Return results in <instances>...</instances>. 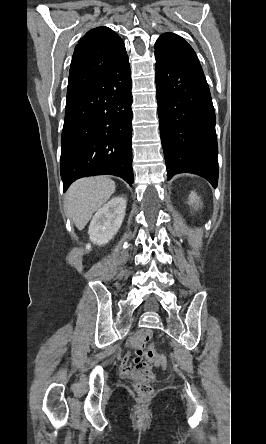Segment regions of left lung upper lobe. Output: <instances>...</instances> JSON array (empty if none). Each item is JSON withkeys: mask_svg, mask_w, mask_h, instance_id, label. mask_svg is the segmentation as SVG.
I'll use <instances>...</instances> for the list:
<instances>
[{"mask_svg": "<svg viewBox=\"0 0 266 444\" xmlns=\"http://www.w3.org/2000/svg\"><path fill=\"white\" fill-rule=\"evenodd\" d=\"M155 57L182 68L202 69L195 51L179 35L165 33L155 43Z\"/></svg>", "mask_w": 266, "mask_h": 444, "instance_id": "1", "label": "left lung upper lobe"}]
</instances>
